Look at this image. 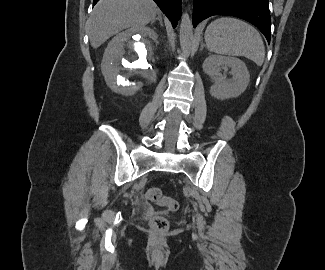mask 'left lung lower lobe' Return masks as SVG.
I'll use <instances>...</instances> for the list:
<instances>
[{"mask_svg":"<svg viewBox=\"0 0 325 270\" xmlns=\"http://www.w3.org/2000/svg\"><path fill=\"white\" fill-rule=\"evenodd\" d=\"M269 0H194L193 26L213 15H229L255 25L270 42Z\"/></svg>","mask_w":325,"mask_h":270,"instance_id":"0a47b994","label":"left lung lower lobe"}]
</instances>
